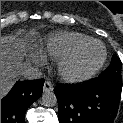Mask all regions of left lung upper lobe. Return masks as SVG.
<instances>
[{
  "label": "left lung upper lobe",
  "mask_w": 123,
  "mask_h": 123,
  "mask_svg": "<svg viewBox=\"0 0 123 123\" xmlns=\"http://www.w3.org/2000/svg\"><path fill=\"white\" fill-rule=\"evenodd\" d=\"M100 78L121 82V61L113 55L110 66L99 75Z\"/></svg>",
  "instance_id": "left-lung-upper-lobe-1"
}]
</instances>
